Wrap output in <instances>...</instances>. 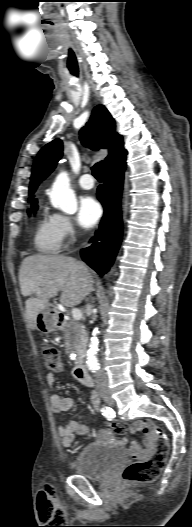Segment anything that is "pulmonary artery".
I'll use <instances>...</instances> for the list:
<instances>
[{
	"label": "pulmonary artery",
	"mask_w": 192,
	"mask_h": 527,
	"mask_svg": "<svg viewBox=\"0 0 192 527\" xmlns=\"http://www.w3.org/2000/svg\"><path fill=\"white\" fill-rule=\"evenodd\" d=\"M79 185L83 189H92L94 187V180L90 174H84L79 179Z\"/></svg>",
	"instance_id": "1"
}]
</instances>
